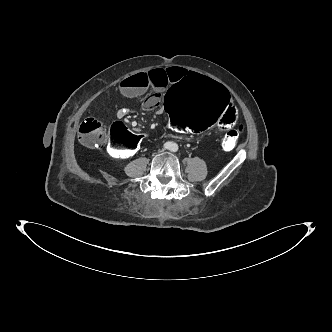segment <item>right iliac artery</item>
Segmentation results:
<instances>
[{"mask_svg": "<svg viewBox=\"0 0 332 332\" xmlns=\"http://www.w3.org/2000/svg\"><path fill=\"white\" fill-rule=\"evenodd\" d=\"M171 147H172V144H171L170 142H166V143L164 144V148H165V149H171Z\"/></svg>", "mask_w": 332, "mask_h": 332, "instance_id": "1", "label": "right iliac artery"}]
</instances>
